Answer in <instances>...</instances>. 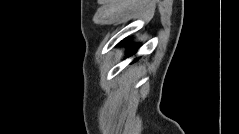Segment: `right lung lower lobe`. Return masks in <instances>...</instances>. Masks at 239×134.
I'll list each match as a JSON object with an SVG mask.
<instances>
[{"instance_id":"obj_1","label":"right lung lower lobe","mask_w":239,"mask_h":134,"mask_svg":"<svg viewBox=\"0 0 239 134\" xmlns=\"http://www.w3.org/2000/svg\"><path fill=\"white\" fill-rule=\"evenodd\" d=\"M137 48H138V47H134V48L129 49V51H128V55H132V54H134L135 51L137 50Z\"/></svg>"}]
</instances>
